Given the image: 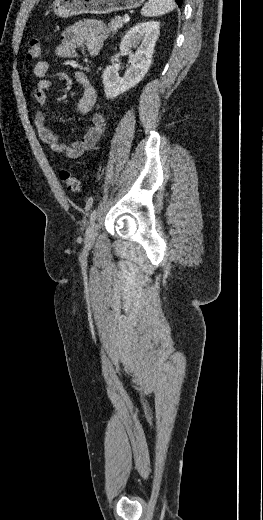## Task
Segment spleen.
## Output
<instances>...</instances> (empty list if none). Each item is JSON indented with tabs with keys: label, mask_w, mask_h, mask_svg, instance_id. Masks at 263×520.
Wrapping results in <instances>:
<instances>
[{
	"label": "spleen",
	"mask_w": 263,
	"mask_h": 520,
	"mask_svg": "<svg viewBox=\"0 0 263 520\" xmlns=\"http://www.w3.org/2000/svg\"><path fill=\"white\" fill-rule=\"evenodd\" d=\"M174 8V0H149L142 8L141 15L145 17H155L169 13Z\"/></svg>",
	"instance_id": "spleen-1"
}]
</instances>
